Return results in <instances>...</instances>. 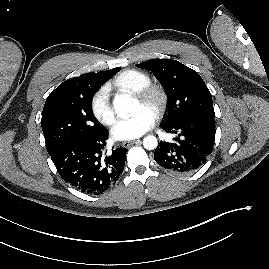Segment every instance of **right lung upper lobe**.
<instances>
[{
    "label": "right lung upper lobe",
    "mask_w": 269,
    "mask_h": 269,
    "mask_svg": "<svg viewBox=\"0 0 269 269\" xmlns=\"http://www.w3.org/2000/svg\"><path fill=\"white\" fill-rule=\"evenodd\" d=\"M115 73H116V68H114L112 70H108V71H99L97 73H87V74L81 75L79 77L70 78V79L64 81L62 84H60L58 86V88H62V87H65L68 85H73V84L88 83V82H91L92 80L110 78Z\"/></svg>",
    "instance_id": "obj_1"
}]
</instances>
